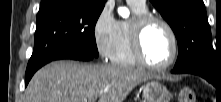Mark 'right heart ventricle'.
Returning <instances> with one entry per match:
<instances>
[{
  "mask_svg": "<svg viewBox=\"0 0 221 102\" xmlns=\"http://www.w3.org/2000/svg\"><path fill=\"white\" fill-rule=\"evenodd\" d=\"M134 16L142 15L148 13L146 6L139 7L134 4L129 3ZM131 22L128 20L119 21V32L117 44L114 50V53L111 57L113 63L122 65V66H135L138 64L135 59L130 40V27Z\"/></svg>",
  "mask_w": 221,
  "mask_h": 102,
  "instance_id": "1",
  "label": "right heart ventricle"
}]
</instances>
